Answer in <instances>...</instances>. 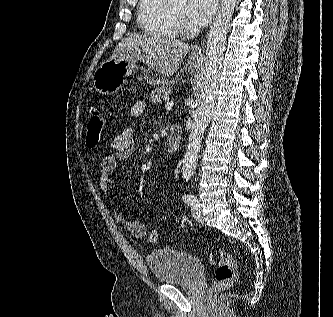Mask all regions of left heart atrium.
Segmentation results:
<instances>
[{"label":"left heart atrium","mask_w":333,"mask_h":317,"mask_svg":"<svg viewBox=\"0 0 333 317\" xmlns=\"http://www.w3.org/2000/svg\"><path fill=\"white\" fill-rule=\"evenodd\" d=\"M216 9V0H187L184 19L193 26H204Z\"/></svg>","instance_id":"39dd6f15"}]
</instances>
